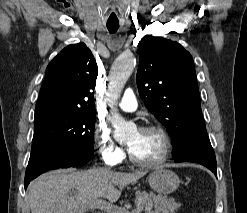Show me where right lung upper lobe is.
Here are the masks:
<instances>
[{
  "instance_id": "cb5924a9",
  "label": "right lung upper lobe",
  "mask_w": 247,
  "mask_h": 213,
  "mask_svg": "<svg viewBox=\"0 0 247 213\" xmlns=\"http://www.w3.org/2000/svg\"><path fill=\"white\" fill-rule=\"evenodd\" d=\"M98 67L84 43L64 48L47 66L35 114L46 111L95 112Z\"/></svg>"
}]
</instances>
